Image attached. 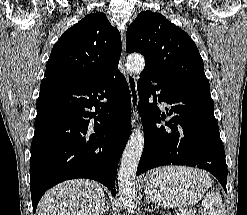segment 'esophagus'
<instances>
[{"label": "esophagus", "mask_w": 247, "mask_h": 215, "mask_svg": "<svg viewBox=\"0 0 247 215\" xmlns=\"http://www.w3.org/2000/svg\"><path fill=\"white\" fill-rule=\"evenodd\" d=\"M126 43H125V37L122 36V56L121 61L122 63L125 62V54H126ZM126 81L129 86L130 95H131V109H132V124L134 125L138 119V111H137V105L139 101V96L137 92V81L134 75L127 73L126 74Z\"/></svg>", "instance_id": "obj_1"}]
</instances>
